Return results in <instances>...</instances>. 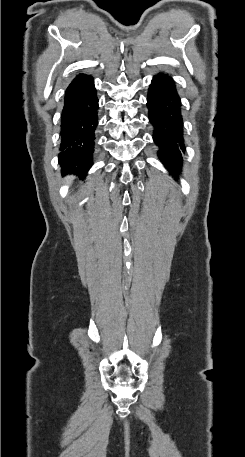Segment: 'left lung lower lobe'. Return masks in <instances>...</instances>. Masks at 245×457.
Segmentation results:
<instances>
[{
  "instance_id": "1",
  "label": "left lung lower lobe",
  "mask_w": 245,
  "mask_h": 457,
  "mask_svg": "<svg viewBox=\"0 0 245 457\" xmlns=\"http://www.w3.org/2000/svg\"><path fill=\"white\" fill-rule=\"evenodd\" d=\"M147 107L158 156L170 173L178 176L185 154L184 125L181 99L174 81L167 74L160 73L152 80Z\"/></svg>"
}]
</instances>
